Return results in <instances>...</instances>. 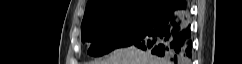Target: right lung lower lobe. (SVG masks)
<instances>
[{
  "label": "right lung lower lobe",
  "instance_id": "obj_1",
  "mask_svg": "<svg viewBox=\"0 0 242 64\" xmlns=\"http://www.w3.org/2000/svg\"><path fill=\"white\" fill-rule=\"evenodd\" d=\"M133 46L150 51L172 64H188L192 56V41L186 0H172L156 24Z\"/></svg>",
  "mask_w": 242,
  "mask_h": 64
}]
</instances>
